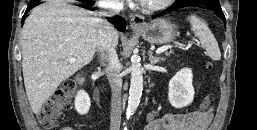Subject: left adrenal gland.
I'll return each instance as SVG.
<instances>
[{
	"mask_svg": "<svg viewBox=\"0 0 257 130\" xmlns=\"http://www.w3.org/2000/svg\"><path fill=\"white\" fill-rule=\"evenodd\" d=\"M148 55H149V61L152 64H157L158 62L165 61V58L153 56V52L151 50H149Z\"/></svg>",
	"mask_w": 257,
	"mask_h": 130,
	"instance_id": "obj_1",
	"label": "left adrenal gland"
}]
</instances>
